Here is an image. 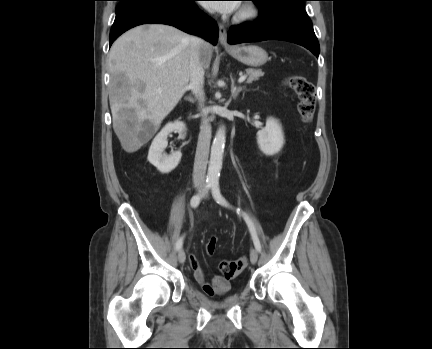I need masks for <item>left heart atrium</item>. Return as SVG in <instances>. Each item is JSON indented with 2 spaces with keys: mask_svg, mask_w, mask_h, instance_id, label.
I'll list each match as a JSON object with an SVG mask.
<instances>
[{
  "mask_svg": "<svg viewBox=\"0 0 432 349\" xmlns=\"http://www.w3.org/2000/svg\"><path fill=\"white\" fill-rule=\"evenodd\" d=\"M205 5L206 7L221 13H233L239 7V3L237 1L206 3Z\"/></svg>",
  "mask_w": 432,
  "mask_h": 349,
  "instance_id": "1",
  "label": "left heart atrium"
}]
</instances>
